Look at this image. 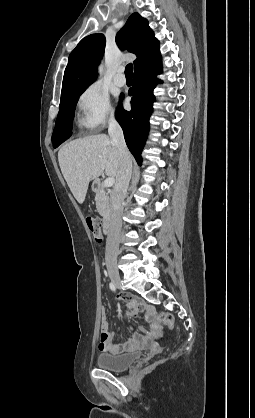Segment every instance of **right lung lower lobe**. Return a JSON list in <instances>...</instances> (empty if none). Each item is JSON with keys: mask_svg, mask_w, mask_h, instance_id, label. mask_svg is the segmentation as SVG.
I'll use <instances>...</instances> for the list:
<instances>
[{"mask_svg": "<svg viewBox=\"0 0 255 418\" xmlns=\"http://www.w3.org/2000/svg\"><path fill=\"white\" fill-rule=\"evenodd\" d=\"M161 69L160 58L153 64L135 71L132 87L129 89L132 109L126 111L122 104H119L116 112V119L123 129L126 144L139 165L142 163L141 152L148 136L149 118L155 101L153 89L159 83L156 76L160 74Z\"/></svg>", "mask_w": 255, "mask_h": 418, "instance_id": "right-lung-lower-lobe-1", "label": "right lung lower lobe"}]
</instances>
